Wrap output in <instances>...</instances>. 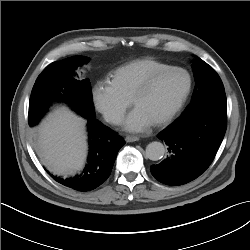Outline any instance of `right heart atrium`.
Masks as SVG:
<instances>
[{
  "label": "right heart atrium",
  "mask_w": 250,
  "mask_h": 250,
  "mask_svg": "<svg viewBox=\"0 0 250 250\" xmlns=\"http://www.w3.org/2000/svg\"><path fill=\"white\" fill-rule=\"evenodd\" d=\"M91 97L95 109L113 125L122 122L126 110L131 105V99L124 96L107 79L99 80L93 85Z\"/></svg>",
  "instance_id": "obj_1"
}]
</instances>
